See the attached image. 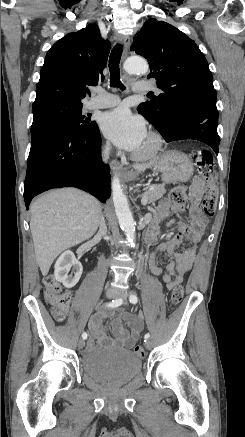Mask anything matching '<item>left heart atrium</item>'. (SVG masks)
<instances>
[{"label":"left heart atrium","mask_w":245,"mask_h":437,"mask_svg":"<svg viewBox=\"0 0 245 437\" xmlns=\"http://www.w3.org/2000/svg\"><path fill=\"white\" fill-rule=\"evenodd\" d=\"M100 128L116 146L137 152L146 138L143 120L126 107H118L103 114Z\"/></svg>","instance_id":"1"}]
</instances>
